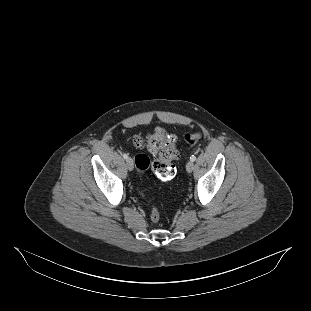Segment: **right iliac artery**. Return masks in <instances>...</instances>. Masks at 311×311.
<instances>
[{"mask_svg":"<svg viewBox=\"0 0 311 311\" xmlns=\"http://www.w3.org/2000/svg\"><path fill=\"white\" fill-rule=\"evenodd\" d=\"M123 158H124V159H127V158H128V155H127V154H123Z\"/></svg>","mask_w":311,"mask_h":311,"instance_id":"82829eb1","label":"right iliac artery"}]
</instances>
